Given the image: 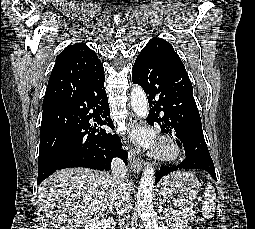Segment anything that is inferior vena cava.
<instances>
[{"instance_id":"obj_1","label":"inferior vena cava","mask_w":255,"mask_h":229,"mask_svg":"<svg viewBox=\"0 0 255 229\" xmlns=\"http://www.w3.org/2000/svg\"><path fill=\"white\" fill-rule=\"evenodd\" d=\"M111 171L118 178V185L115 192V209L118 214H125L130 211V194L127 191L126 183L121 179L127 173V168L123 160L114 158L111 162Z\"/></svg>"}]
</instances>
